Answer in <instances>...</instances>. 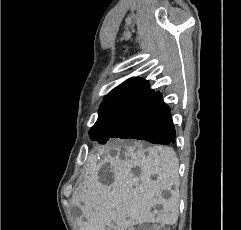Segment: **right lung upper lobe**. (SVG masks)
<instances>
[{"instance_id":"obj_1","label":"right lung upper lobe","mask_w":241,"mask_h":230,"mask_svg":"<svg viewBox=\"0 0 241 230\" xmlns=\"http://www.w3.org/2000/svg\"><path fill=\"white\" fill-rule=\"evenodd\" d=\"M149 87V82L141 78H130L113 89L100 106L99 117L113 111L130 113L139 111L156 95Z\"/></svg>"}]
</instances>
